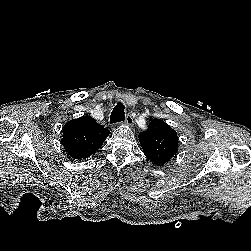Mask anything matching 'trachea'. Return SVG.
Wrapping results in <instances>:
<instances>
[{
	"mask_svg": "<svg viewBox=\"0 0 251 251\" xmlns=\"http://www.w3.org/2000/svg\"><path fill=\"white\" fill-rule=\"evenodd\" d=\"M125 118L124 105L119 102L113 109L110 116V124L123 121Z\"/></svg>",
	"mask_w": 251,
	"mask_h": 251,
	"instance_id": "trachea-1",
	"label": "trachea"
}]
</instances>
